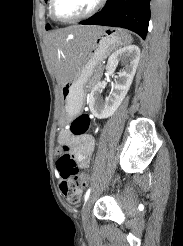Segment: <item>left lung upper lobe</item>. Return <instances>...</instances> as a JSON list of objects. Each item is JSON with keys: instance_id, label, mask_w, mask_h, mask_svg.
Masks as SVG:
<instances>
[{"instance_id": "obj_1", "label": "left lung upper lobe", "mask_w": 183, "mask_h": 246, "mask_svg": "<svg viewBox=\"0 0 183 246\" xmlns=\"http://www.w3.org/2000/svg\"><path fill=\"white\" fill-rule=\"evenodd\" d=\"M45 2H47V0H45ZM46 29L48 30V29H50V26L47 24V26H46Z\"/></svg>"}]
</instances>
